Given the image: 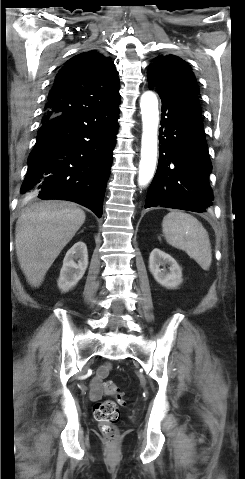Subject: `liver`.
<instances>
[{"instance_id": "6515ba94", "label": "liver", "mask_w": 245, "mask_h": 479, "mask_svg": "<svg viewBox=\"0 0 245 479\" xmlns=\"http://www.w3.org/2000/svg\"><path fill=\"white\" fill-rule=\"evenodd\" d=\"M85 222L76 204L43 201L23 209L15 232L17 259L28 283L39 287L63 248Z\"/></svg>"}]
</instances>
